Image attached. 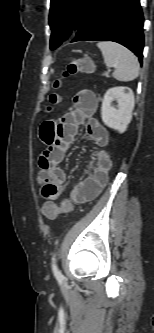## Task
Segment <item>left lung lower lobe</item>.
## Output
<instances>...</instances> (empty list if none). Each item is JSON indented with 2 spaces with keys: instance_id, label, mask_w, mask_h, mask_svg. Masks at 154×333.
Listing matches in <instances>:
<instances>
[{
  "instance_id": "0a47b994",
  "label": "left lung lower lobe",
  "mask_w": 154,
  "mask_h": 333,
  "mask_svg": "<svg viewBox=\"0 0 154 333\" xmlns=\"http://www.w3.org/2000/svg\"><path fill=\"white\" fill-rule=\"evenodd\" d=\"M97 40L124 45L142 64L143 13L139 0H96L72 42Z\"/></svg>"
}]
</instances>
